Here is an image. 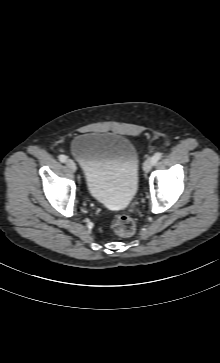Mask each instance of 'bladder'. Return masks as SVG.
I'll use <instances>...</instances> for the list:
<instances>
[{
  "instance_id": "1",
  "label": "bladder",
  "mask_w": 220,
  "mask_h": 363,
  "mask_svg": "<svg viewBox=\"0 0 220 363\" xmlns=\"http://www.w3.org/2000/svg\"><path fill=\"white\" fill-rule=\"evenodd\" d=\"M70 150L94 200L111 208L129 205L137 192L139 170L138 151L130 139L115 133H84L73 139Z\"/></svg>"
}]
</instances>
